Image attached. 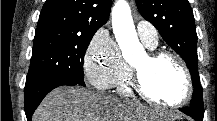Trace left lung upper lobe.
I'll list each match as a JSON object with an SVG mask.
<instances>
[{
    "instance_id": "left-lung-upper-lobe-1",
    "label": "left lung upper lobe",
    "mask_w": 217,
    "mask_h": 121,
    "mask_svg": "<svg viewBox=\"0 0 217 121\" xmlns=\"http://www.w3.org/2000/svg\"><path fill=\"white\" fill-rule=\"evenodd\" d=\"M140 14L151 22L166 43L186 62L193 82L190 109L203 121V90L200 85L195 19L188 0H136Z\"/></svg>"
}]
</instances>
